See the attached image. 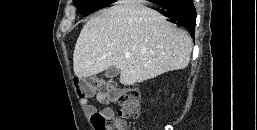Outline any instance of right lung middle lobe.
I'll list each match as a JSON object with an SVG mask.
<instances>
[{
	"mask_svg": "<svg viewBox=\"0 0 257 130\" xmlns=\"http://www.w3.org/2000/svg\"><path fill=\"white\" fill-rule=\"evenodd\" d=\"M74 3L84 16L111 4L108 0H74Z\"/></svg>",
	"mask_w": 257,
	"mask_h": 130,
	"instance_id": "obj_1",
	"label": "right lung middle lobe"
}]
</instances>
